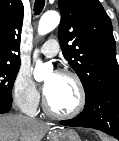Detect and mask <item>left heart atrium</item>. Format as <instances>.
Returning <instances> with one entry per match:
<instances>
[{
	"label": "left heart atrium",
	"instance_id": "39dd6f15",
	"mask_svg": "<svg viewBox=\"0 0 119 141\" xmlns=\"http://www.w3.org/2000/svg\"><path fill=\"white\" fill-rule=\"evenodd\" d=\"M43 90H44V92H45V93L47 92L48 87H47V85H46V84H44V86H43Z\"/></svg>",
	"mask_w": 119,
	"mask_h": 141
}]
</instances>
